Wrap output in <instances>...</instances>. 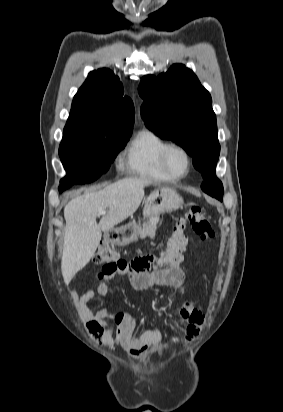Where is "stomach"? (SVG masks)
Masks as SVG:
<instances>
[{"instance_id": "stomach-1", "label": "stomach", "mask_w": 283, "mask_h": 412, "mask_svg": "<svg viewBox=\"0 0 283 412\" xmlns=\"http://www.w3.org/2000/svg\"><path fill=\"white\" fill-rule=\"evenodd\" d=\"M183 205L182 197L172 188H161L153 193L145 201L143 215L147 219H154L163 213L176 211ZM138 225L133 222L126 227L114 231L108 236L112 244L123 246L136 238Z\"/></svg>"}]
</instances>
